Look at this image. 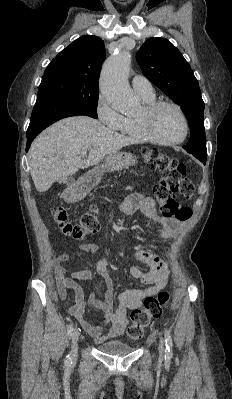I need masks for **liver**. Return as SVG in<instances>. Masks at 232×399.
<instances>
[{"instance_id":"1","label":"liver","mask_w":232,"mask_h":399,"mask_svg":"<svg viewBox=\"0 0 232 399\" xmlns=\"http://www.w3.org/2000/svg\"><path fill=\"white\" fill-rule=\"evenodd\" d=\"M137 140L105 128L87 116L64 118L32 142L28 152L31 178L37 192H46L59 178H68L80 168L98 166L108 154H116ZM90 150L87 160L81 152Z\"/></svg>"}]
</instances>
